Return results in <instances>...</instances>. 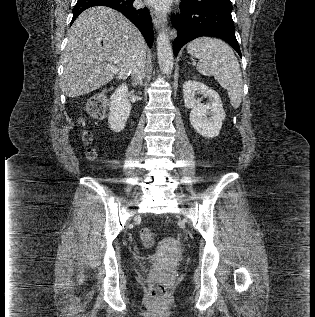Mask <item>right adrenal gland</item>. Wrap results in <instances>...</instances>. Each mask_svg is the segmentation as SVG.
Wrapping results in <instances>:
<instances>
[{"mask_svg":"<svg viewBox=\"0 0 315 317\" xmlns=\"http://www.w3.org/2000/svg\"><path fill=\"white\" fill-rule=\"evenodd\" d=\"M133 85H137L136 83H132ZM140 85H143L142 81L139 82Z\"/></svg>","mask_w":315,"mask_h":317,"instance_id":"2a0ac1e0","label":"right adrenal gland"}]
</instances>
